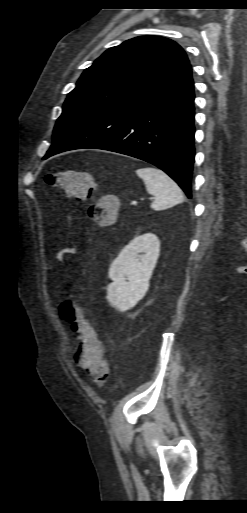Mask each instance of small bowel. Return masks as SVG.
I'll return each instance as SVG.
<instances>
[{
	"mask_svg": "<svg viewBox=\"0 0 247 513\" xmlns=\"http://www.w3.org/2000/svg\"><path fill=\"white\" fill-rule=\"evenodd\" d=\"M75 251H76V248L74 245L64 247L57 252L56 259L59 262H63L66 256L74 254ZM74 362H76V361H74Z\"/></svg>",
	"mask_w": 247,
	"mask_h": 513,
	"instance_id": "small-bowel-1",
	"label": "small bowel"
}]
</instances>
